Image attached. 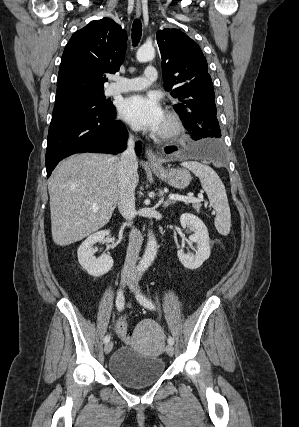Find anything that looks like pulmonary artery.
Wrapping results in <instances>:
<instances>
[{"mask_svg": "<svg viewBox=\"0 0 299 427\" xmlns=\"http://www.w3.org/2000/svg\"><path fill=\"white\" fill-rule=\"evenodd\" d=\"M157 78V70L149 65L145 68L144 74L138 77L126 78L122 76L114 77L115 82L110 87L111 94L124 93L130 91L143 90L149 87Z\"/></svg>", "mask_w": 299, "mask_h": 427, "instance_id": "e3ab8cb5", "label": "pulmonary artery"}]
</instances>
